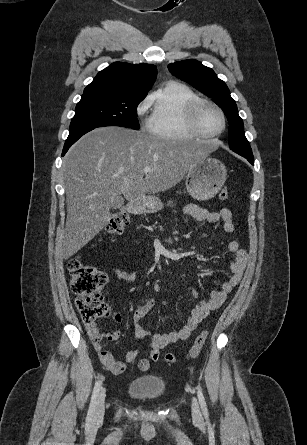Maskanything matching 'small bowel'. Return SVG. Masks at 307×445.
<instances>
[{
    "mask_svg": "<svg viewBox=\"0 0 307 445\" xmlns=\"http://www.w3.org/2000/svg\"><path fill=\"white\" fill-rule=\"evenodd\" d=\"M184 213L196 221L207 222L210 224L221 221L226 232L235 234L233 215L227 208L214 212L196 204H188L184 208ZM227 248L234 258L230 264L231 274L229 278L222 284L219 290L213 291L208 299L200 300L195 305L191 310L185 325L181 328L169 333H151L145 329L141 321L155 306V301L151 298L144 299L135 309L132 317L135 334L139 338H151L148 358H143L138 361V368L140 371L148 370L151 362L158 361L162 349L177 341L188 339L191 333L197 329L198 325L208 317L212 311L223 305L227 296L241 281L248 259V251L242 246L238 239L230 241ZM115 275L118 278L129 281L134 280L136 276L133 270L126 267L116 268ZM191 293L195 298L198 296L194 289H191ZM118 321H120V319ZM86 330L102 364L113 374H122L125 371L127 364L135 361L137 358L138 351L131 350L126 354L125 361L116 360L102 344L104 338L112 340V332L99 330L95 323L87 324Z\"/></svg>",
    "mask_w": 307,
    "mask_h": 445,
    "instance_id": "small-bowel-1",
    "label": "small bowel"
}]
</instances>
